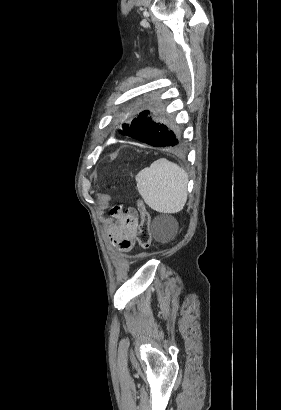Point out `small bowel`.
Returning <instances> with one entry per match:
<instances>
[{
	"label": "small bowel",
	"instance_id": "small-bowel-1",
	"mask_svg": "<svg viewBox=\"0 0 281 410\" xmlns=\"http://www.w3.org/2000/svg\"><path fill=\"white\" fill-rule=\"evenodd\" d=\"M116 223L109 231V237L120 253L129 252L135 243L138 218L136 216H116Z\"/></svg>",
	"mask_w": 281,
	"mask_h": 410
}]
</instances>
